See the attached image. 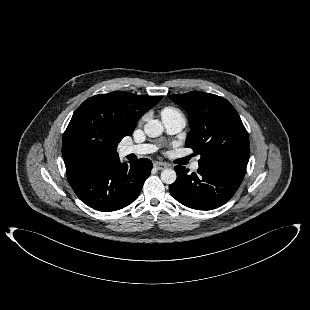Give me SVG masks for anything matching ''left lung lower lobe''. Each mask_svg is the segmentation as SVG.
<instances>
[{
  "label": "left lung lower lobe",
  "instance_id": "obj_1",
  "mask_svg": "<svg viewBox=\"0 0 310 310\" xmlns=\"http://www.w3.org/2000/svg\"><path fill=\"white\" fill-rule=\"evenodd\" d=\"M176 181L169 186L171 195L181 204L198 210H210L225 204L239 188L244 172L223 166H201L196 173L175 166Z\"/></svg>",
  "mask_w": 310,
  "mask_h": 310
}]
</instances>
